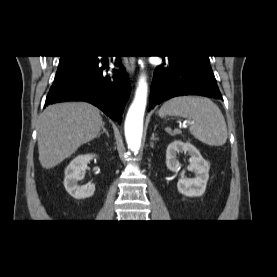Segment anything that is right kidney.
<instances>
[{"instance_id": "right-kidney-1", "label": "right kidney", "mask_w": 277, "mask_h": 277, "mask_svg": "<svg viewBox=\"0 0 277 277\" xmlns=\"http://www.w3.org/2000/svg\"><path fill=\"white\" fill-rule=\"evenodd\" d=\"M95 157L96 155L93 154L78 155L65 169L63 183L66 191L75 199L89 198L95 192V185L92 183L83 186L78 184V182L84 178L87 164Z\"/></svg>"}]
</instances>
